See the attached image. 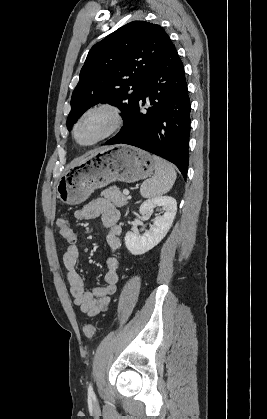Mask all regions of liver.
Instances as JSON below:
<instances>
[{"label": "liver", "mask_w": 267, "mask_h": 419, "mask_svg": "<svg viewBox=\"0 0 267 419\" xmlns=\"http://www.w3.org/2000/svg\"><path fill=\"white\" fill-rule=\"evenodd\" d=\"M104 148H102V149H97V150H94V151H92L91 153H90V156L91 155H94V154H96V153H98V152H100V151H102ZM84 160V159H83ZM82 160V161H83ZM82 161H80V162H82Z\"/></svg>", "instance_id": "obj_1"}]
</instances>
